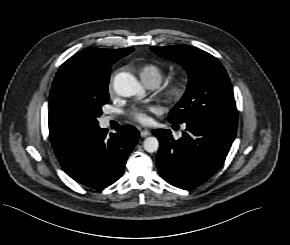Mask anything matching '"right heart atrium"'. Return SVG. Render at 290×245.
<instances>
[{
  "label": "right heart atrium",
  "mask_w": 290,
  "mask_h": 245,
  "mask_svg": "<svg viewBox=\"0 0 290 245\" xmlns=\"http://www.w3.org/2000/svg\"><path fill=\"white\" fill-rule=\"evenodd\" d=\"M109 91L110 92H113V85H112V81L110 82V84H109Z\"/></svg>",
  "instance_id": "obj_1"
}]
</instances>
